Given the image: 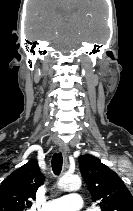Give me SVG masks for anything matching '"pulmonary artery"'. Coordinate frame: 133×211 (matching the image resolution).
I'll return each mask as SVG.
<instances>
[{"mask_svg":"<svg viewBox=\"0 0 133 211\" xmlns=\"http://www.w3.org/2000/svg\"><path fill=\"white\" fill-rule=\"evenodd\" d=\"M83 207L82 196L78 193L49 200L45 203L41 211H77Z\"/></svg>","mask_w":133,"mask_h":211,"instance_id":"1","label":"pulmonary artery"}]
</instances>
